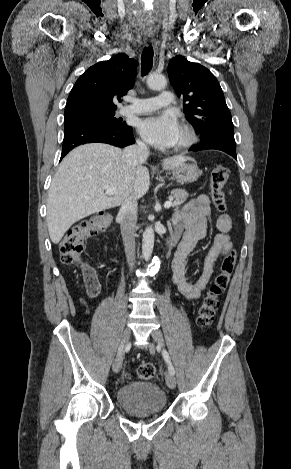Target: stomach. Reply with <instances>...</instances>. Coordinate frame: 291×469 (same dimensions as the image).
<instances>
[{
  "mask_svg": "<svg viewBox=\"0 0 291 469\" xmlns=\"http://www.w3.org/2000/svg\"><path fill=\"white\" fill-rule=\"evenodd\" d=\"M201 175V171L194 162L183 163L172 170V177L180 183H192Z\"/></svg>",
  "mask_w": 291,
  "mask_h": 469,
  "instance_id": "obj_1",
  "label": "stomach"
}]
</instances>
